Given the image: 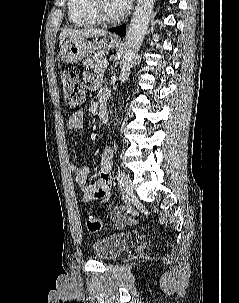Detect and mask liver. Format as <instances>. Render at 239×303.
I'll return each mask as SVG.
<instances>
[{"mask_svg":"<svg viewBox=\"0 0 239 303\" xmlns=\"http://www.w3.org/2000/svg\"><path fill=\"white\" fill-rule=\"evenodd\" d=\"M106 34L107 32L102 29H85V30L65 29L61 32L60 38L62 41L64 39H68V41H73L80 38L104 36Z\"/></svg>","mask_w":239,"mask_h":303,"instance_id":"1","label":"liver"}]
</instances>
